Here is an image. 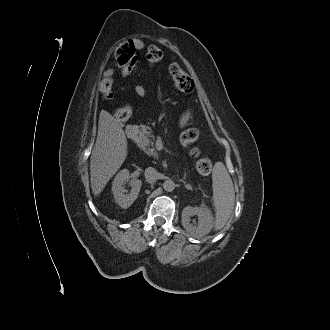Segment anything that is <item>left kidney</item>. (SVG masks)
Returning <instances> with one entry per match:
<instances>
[{
    "label": "left kidney",
    "mask_w": 330,
    "mask_h": 330,
    "mask_svg": "<svg viewBox=\"0 0 330 330\" xmlns=\"http://www.w3.org/2000/svg\"><path fill=\"white\" fill-rule=\"evenodd\" d=\"M197 215L198 225L194 226L190 223V217ZM181 223L184 229L193 237L201 238L207 235L213 227V215L206 206L191 207L187 206L183 209L181 215Z\"/></svg>",
    "instance_id": "obj_1"
}]
</instances>
